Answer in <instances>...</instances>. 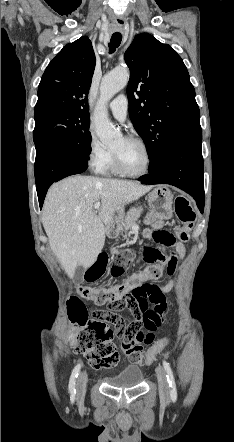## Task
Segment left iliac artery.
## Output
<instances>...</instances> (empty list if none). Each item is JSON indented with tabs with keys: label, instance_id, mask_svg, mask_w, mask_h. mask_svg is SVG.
<instances>
[{
	"label": "left iliac artery",
	"instance_id": "1",
	"mask_svg": "<svg viewBox=\"0 0 234 442\" xmlns=\"http://www.w3.org/2000/svg\"><path fill=\"white\" fill-rule=\"evenodd\" d=\"M163 366L164 369L166 371V376H167V380L169 383V387H170V397L172 401H176L177 399V390H176V384H175V380H174V376L171 370V367L169 365V363H167L166 361H163Z\"/></svg>",
	"mask_w": 234,
	"mask_h": 442
}]
</instances>
